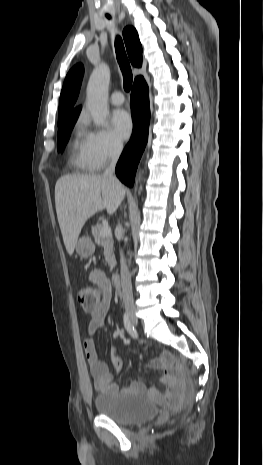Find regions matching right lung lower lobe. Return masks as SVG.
<instances>
[{
  "instance_id": "right-lung-lower-lobe-1",
  "label": "right lung lower lobe",
  "mask_w": 263,
  "mask_h": 465,
  "mask_svg": "<svg viewBox=\"0 0 263 465\" xmlns=\"http://www.w3.org/2000/svg\"><path fill=\"white\" fill-rule=\"evenodd\" d=\"M133 133L116 165L117 177L132 187L141 155L148 140L150 122L149 90L142 76L135 79L130 100Z\"/></svg>"
}]
</instances>
